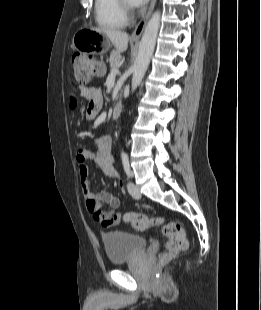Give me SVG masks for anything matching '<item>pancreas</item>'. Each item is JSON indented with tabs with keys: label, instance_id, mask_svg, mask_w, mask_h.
<instances>
[{
	"label": "pancreas",
	"instance_id": "1",
	"mask_svg": "<svg viewBox=\"0 0 261 310\" xmlns=\"http://www.w3.org/2000/svg\"><path fill=\"white\" fill-rule=\"evenodd\" d=\"M121 61V55L118 51L113 50L110 54V67L116 68Z\"/></svg>",
	"mask_w": 261,
	"mask_h": 310
}]
</instances>
